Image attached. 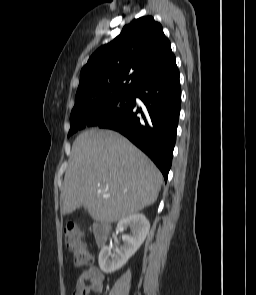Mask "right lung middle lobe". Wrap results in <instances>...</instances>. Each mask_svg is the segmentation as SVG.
Segmentation results:
<instances>
[{
  "instance_id": "obj_1",
  "label": "right lung middle lobe",
  "mask_w": 256,
  "mask_h": 295,
  "mask_svg": "<svg viewBox=\"0 0 256 295\" xmlns=\"http://www.w3.org/2000/svg\"><path fill=\"white\" fill-rule=\"evenodd\" d=\"M134 92L106 98L77 100L70 115L71 128L68 137L78 129L90 126L96 120L120 115L132 106Z\"/></svg>"
}]
</instances>
